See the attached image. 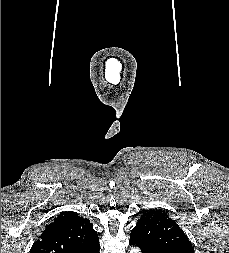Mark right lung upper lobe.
Wrapping results in <instances>:
<instances>
[{"mask_svg": "<svg viewBox=\"0 0 229 253\" xmlns=\"http://www.w3.org/2000/svg\"><path fill=\"white\" fill-rule=\"evenodd\" d=\"M97 243V232L90 221L68 211L45 228L30 253H81Z\"/></svg>", "mask_w": 229, "mask_h": 253, "instance_id": "obj_1", "label": "right lung upper lobe"}]
</instances>
